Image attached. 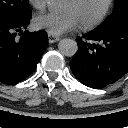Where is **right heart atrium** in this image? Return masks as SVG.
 <instances>
[{
    "label": "right heart atrium",
    "instance_id": "right-heart-atrium-1",
    "mask_svg": "<svg viewBox=\"0 0 128 128\" xmlns=\"http://www.w3.org/2000/svg\"><path fill=\"white\" fill-rule=\"evenodd\" d=\"M29 4L35 9H43L46 5V0H28Z\"/></svg>",
    "mask_w": 128,
    "mask_h": 128
}]
</instances>
